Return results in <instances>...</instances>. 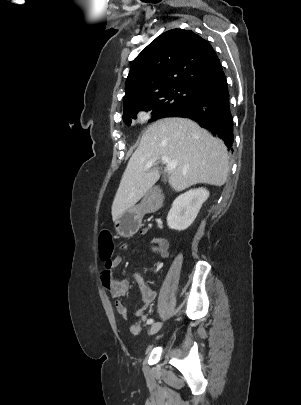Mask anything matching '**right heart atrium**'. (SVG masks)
<instances>
[{"label":"right heart atrium","instance_id":"d8ad5b80","mask_svg":"<svg viewBox=\"0 0 301 405\" xmlns=\"http://www.w3.org/2000/svg\"><path fill=\"white\" fill-rule=\"evenodd\" d=\"M151 117V113L147 110H142L138 113V120L147 121Z\"/></svg>","mask_w":301,"mask_h":405}]
</instances>
